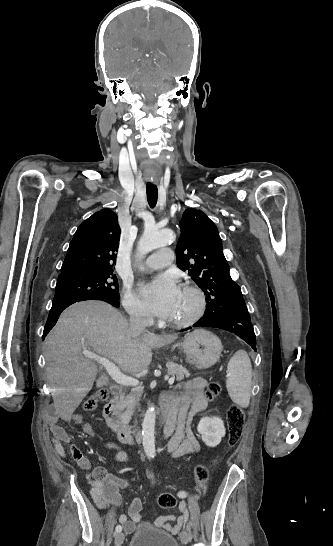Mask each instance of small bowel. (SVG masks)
<instances>
[{
	"label": "small bowel",
	"mask_w": 333,
	"mask_h": 546,
	"mask_svg": "<svg viewBox=\"0 0 333 546\" xmlns=\"http://www.w3.org/2000/svg\"><path fill=\"white\" fill-rule=\"evenodd\" d=\"M183 391L175 396L166 397L163 401V412L165 414L164 434L170 437L167 445V451L173 457H181L187 454H194L199 451V443L190 425L187 424L188 411L191 410V416L203 411L208 403L204 396L205 381L200 378L190 379L182 386ZM70 420V418H64ZM75 421H80L81 416L75 415L72 417ZM52 432V444L56 453L62 457L66 455L64 445L69 446L70 454L80 467L85 469L93 483L91 496L94 503L100 509H115L120 504V497L117 492L118 486H125L126 483L109 477L103 469H93L88 459L84 457L78 447L71 442L70 435L58 425L56 418H53L50 423ZM83 432L90 437L95 435L92 427L84 423L82 425ZM106 447L117 450V458L120 461L127 460V453L120 449L113 442H106ZM152 479L160 481L159 475L151 474ZM143 502L140 498L132 501L128 515L122 514L118 521L123 525L127 533H133L135 526L141 521V510ZM179 510L182 513L180 516H160L154 524L162 527L169 533L177 534L182 529L188 519L187 505L185 502H180Z\"/></svg>",
	"instance_id": "c3829d8e"
}]
</instances>
